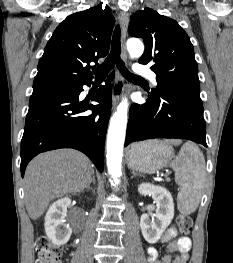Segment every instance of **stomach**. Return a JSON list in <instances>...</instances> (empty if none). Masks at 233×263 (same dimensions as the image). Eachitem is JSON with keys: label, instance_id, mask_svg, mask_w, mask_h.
I'll return each instance as SVG.
<instances>
[{"label": "stomach", "instance_id": "stomach-1", "mask_svg": "<svg viewBox=\"0 0 233 263\" xmlns=\"http://www.w3.org/2000/svg\"><path fill=\"white\" fill-rule=\"evenodd\" d=\"M173 157V149L166 142L148 140L133 144L127 153L128 167L132 170L154 173Z\"/></svg>", "mask_w": 233, "mask_h": 263}]
</instances>
